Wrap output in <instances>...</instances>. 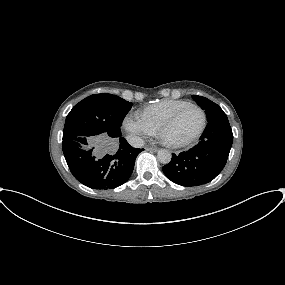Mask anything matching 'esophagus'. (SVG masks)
I'll use <instances>...</instances> for the list:
<instances>
[{
    "instance_id": "obj_1",
    "label": "esophagus",
    "mask_w": 285,
    "mask_h": 285,
    "mask_svg": "<svg viewBox=\"0 0 285 285\" xmlns=\"http://www.w3.org/2000/svg\"><path fill=\"white\" fill-rule=\"evenodd\" d=\"M145 149L147 151H157L158 150V148H156V147H146Z\"/></svg>"
}]
</instances>
